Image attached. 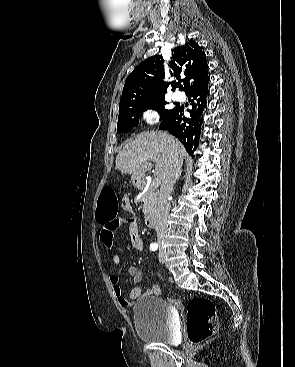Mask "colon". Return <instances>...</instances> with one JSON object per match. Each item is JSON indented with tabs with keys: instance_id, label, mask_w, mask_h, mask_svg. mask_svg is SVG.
Wrapping results in <instances>:
<instances>
[{
	"instance_id": "colon-1",
	"label": "colon",
	"mask_w": 295,
	"mask_h": 367,
	"mask_svg": "<svg viewBox=\"0 0 295 367\" xmlns=\"http://www.w3.org/2000/svg\"><path fill=\"white\" fill-rule=\"evenodd\" d=\"M118 200L111 187H104L99 197L97 220L107 223L117 218ZM187 334L193 344H199L211 337L218 328L216 307L206 297H195L187 304Z\"/></svg>"
}]
</instances>
